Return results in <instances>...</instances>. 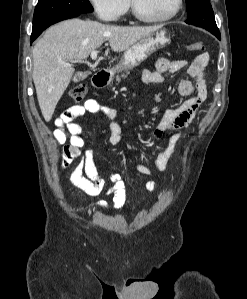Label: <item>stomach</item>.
I'll list each match as a JSON object with an SVG mask.
<instances>
[{
	"mask_svg": "<svg viewBox=\"0 0 247 299\" xmlns=\"http://www.w3.org/2000/svg\"><path fill=\"white\" fill-rule=\"evenodd\" d=\"M170 42L171 38L168 30L165 28L158 29L128 48L120 62L116 65L115 72L129 70L138 66L152 53L165 47Z\"/></svg>",
	"mask_w": 247,
	"mask_h": 299,
	"instance_id": "1",
	"label": "stomach"
}]
</instances>
